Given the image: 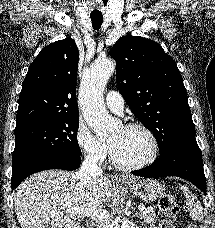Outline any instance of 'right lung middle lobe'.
Masks as SVG:
<instances>
[{
    "label": "right lung middle lobe",
    "mask_w": 215,
    "mask_h": 228,
    "mask_svg": "<svg viewBox=\"0 0 215 228\" xmlns=\"http://www.w3.org/2000/svg\"><path fill=\"white\" fill-rule=\"evenodd\" d=\"M78 126L79 116L34 119L16 124L12 162L47 151L80 156Z\"/></svg>",
    "instance_id": "dd1d6c3e"
}]
</instances>
